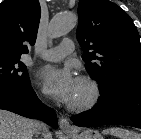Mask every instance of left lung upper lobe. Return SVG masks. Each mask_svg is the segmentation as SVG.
<instances>
[{
  "instance_id": "left-lung-upper-lobe-1",
  "label": "left lung upper lobe",
  "mask_w": 141,
  "mask_h": 139,
  "mask_svg": "<svg viewBox=\"0 0 141 139\" xmlns=\"http://www.w3.org/2000/svg\"><path fill=\"white\" fill-rule=\"evenodd\" d=\"M77 39L101 95L141 84V43L133 20L108 0H80Z\"/></svg>"
}]
</instances>
